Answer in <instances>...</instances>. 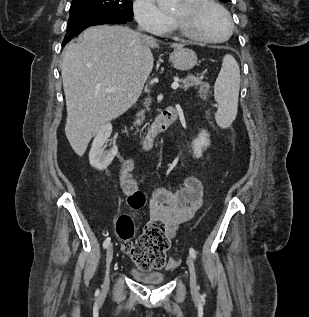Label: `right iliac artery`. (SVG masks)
Masks as SVG:
<instances>
[{
	"mask_svg": "<svg viewBox=\"0 0 309 317\" xmlns=\"http://www.w3.org/2000/svg\"><path fill=\"white\" fill-rule=\"evenodd\" d=\"M110 241H111L110 237L106 238L105 241L103 242V248H107L110 245Z\"/></svg>",
	"mask_w": 309,
	"mask_h": 317,
	"instance_id": "82829eb1",
	"label": "right iliac artery"
}]
</instances>
